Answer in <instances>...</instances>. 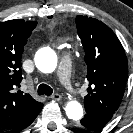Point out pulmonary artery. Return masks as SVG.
<instances>
[{
	"mask_svg": "<svg viewBox=\"0 0 133 133\" xmlns=\"http://www.w3.org/2000/svg\"><path fill=\"white\" fill-rule=\"evenodd\" d=\"M71 69V59L68 56H64L59 62L56 75L59 82L66 89H72Z\"/></svg>",
	"mask_w": 133,
	"mask_h": 133,
	"instance_id": "1",
	"label": "pulmonary artery"
}]
</instances>
